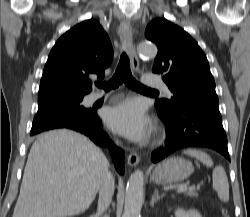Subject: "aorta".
<instances>
[{
  "label": "aorta",
  "mask_w": 250,
  "mask_h": 217,
  "mask_svg": "<svg viewBox=\"0 0 250 217\" xmlns=\"http://www.w3.org/2000/svg\"><path fill=\"white\" fill-rule=\"evenodd\" d=\"M138 52L142 57L154 58L157 55V47L152 43H142L138 47ZM143 185V172L137 170L132 173L127 182L123 217H141Z\"/></svg>",
  "instance_id": "762f6f07"
}]
</instances>
